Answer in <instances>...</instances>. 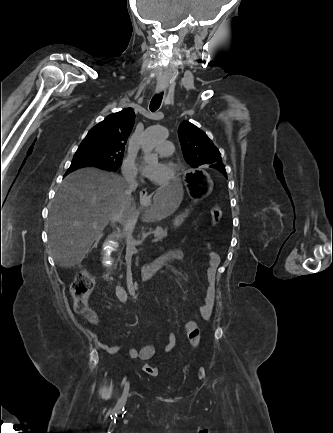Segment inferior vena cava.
Segmentation results:
<instances>
[{"label": "inferior vena cava", "instance_id": "602c4592", "mask_svg": "<svg viewBox=\"0 0 333 433\" xmlns=\"http://www.w3.org/2000/svg\"><path fill=\"white\" fill-rule=\"evenodd\" d=\"M124 178H125V180H126V182L128 184L129 190H135L137 188L138 183L136 181V175L135 174H133V173H130V174L125 173L124 174ZM111 221L112 222H118V221H120V214L113 215Z\"/></svg>", "mask_w": 333, "mask_h": 433}]
</instances>
